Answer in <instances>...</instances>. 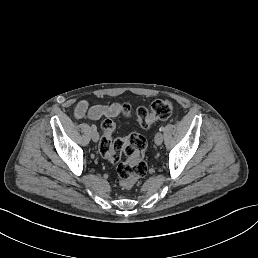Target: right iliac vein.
Here are the masks:
<instances>
[{
	"mask_svg": "<svg viewBox=\"0 0 258 258\" xmlns=\"http://www.w3.org/2000/svg\"><path fill=\"white\" fill-rule=\"evenodd\" d=\"M99 133L97 130H92L91 131V137L93 138V141L94 142H98L100 139H99Z\"/></svg>",
	"mask_w": 258,
	"mask_h": 258,
	"instance_id": "63e3f726",
	"label": "right iliac vein"
}]
</instances>
